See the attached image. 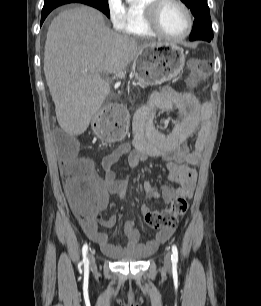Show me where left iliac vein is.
<instances>
[{
  "label": "left iliac vein",
  "instance_id": "4c4485c4",
  "mask_svg": "<svg viewBox=\"0 0 261 306\" xmlns=\"http://www.w3.org/2000/svg\"><path fill=\"white\" fill-rule=\"evenodd\" d=\"M164 267L166 269L171 268V253L168 251L164 257Z\"/></svg>",
  "mask_w": 261,
  "mask_h": 306
}]
</instances>
